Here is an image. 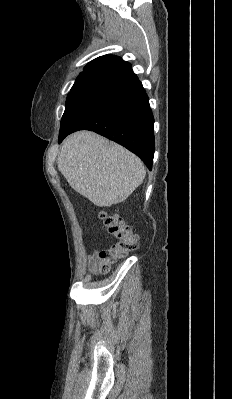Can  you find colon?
Listing matches in <instances>:
<instances>
[{
	"label": "colon",
	"instance_id": "colon-1",
	"mask_svg": "<svg viewBox=\"0 0 232 399\" xmlns=\"http://www.w3.org/2000/svg\"><path fill=\"white\" fill-rule=\"evenodd\" d=\"M89 195V194H84ZM84 206H89V200H84ZM98 222L106 225L108 234H112V249L96 251V265L99 273L113 265V257H128L129 252H137V233L131 231V223L121 221V216L107 218V210L98 205ZM116 222V224H114ZM126 228V230H125Z\"/></svg>",
	"mask_w": 232,
	"mask_h": 399
}]
</instances>
